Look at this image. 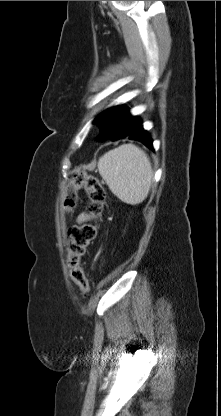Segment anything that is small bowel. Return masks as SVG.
<instances>
[{
  "mask_svg": "<svg viewBox=\"0 0 221 416\" xmlns=\"http://www.w3.org/2000/svg\"><path fill=\"white\" fill-rule=\"evenodd\" d=\"M89 219H91V215L88 213H81L78 215L77 219H76V223L77 224H81L83 222L88 221Z\"/></svg>",
  "mask_w": 221,
  "mask_h": 416,
  "instance_id": "c3829d8e",
  "label": "small bowel"
}]
</instances>
